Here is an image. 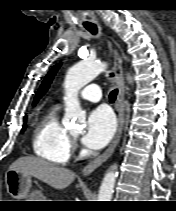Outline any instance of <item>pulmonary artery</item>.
I'll return each instance as SVG.
<instances>
[{"label":"pulmonary artery","mask_w":176,"mask_h":211,"mask_svg":"<svg viewBox=\"0 0 176 211\" xmlns=\"http://www.w3.org/2000/svg\"><path fill=\"white\" fill-rule=\"evenodd\" d=\"M80 97L86 101L98 102L101 99L100 87L96 84H90L81 91Z\"/></svg>","instance_id":"pulmonary-artery-1"}]
</instances>
